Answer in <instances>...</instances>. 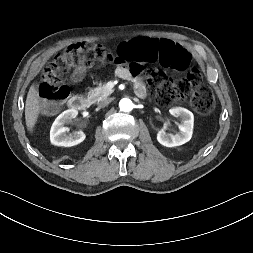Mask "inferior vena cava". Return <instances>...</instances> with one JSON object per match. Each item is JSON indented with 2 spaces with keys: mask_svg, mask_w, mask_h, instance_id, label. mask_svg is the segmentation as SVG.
<instances>
[{
  "mask_svg": "<svg viewBox=\"0 0 253 253\" xmlns=\"http://www.w3.org/2000/svg\"><path fill=\"white\" fill-rule=\"evenodd\" d=\"M111 102V99H103L98 103L99 108L107 106Z\"/></svg>",
  "mask_w": 253,
  "mask_h": 253,
  "instance_id": "602c4592",
  "label": "inferior vena cava"
}]
</instances>
